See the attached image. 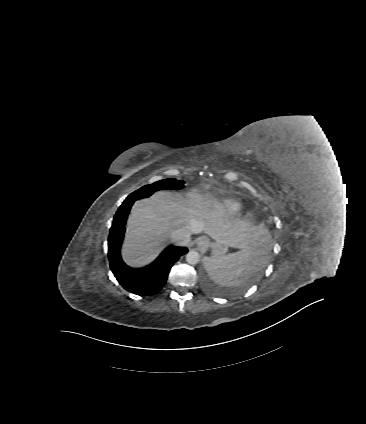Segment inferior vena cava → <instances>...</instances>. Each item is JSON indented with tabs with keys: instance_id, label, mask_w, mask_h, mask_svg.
<instances>
[{
	"instance_id": "inferior-vena-cava-1",
	"label": "inferior vena cava",
	"mask_w": 366,
	"mask_h": 424,
	"mask_svg": "<svg viewBox=\"0 0 366 424\" xmlns=\"http://www.w3.org/2000/svg\"><path fill=\"white\" fill-rule=\"evenodd\" d=\"M192 232L185 228L178 229L171 233V240L178 245H185L190 242Z\"/></svg>"
}]
</instances>
